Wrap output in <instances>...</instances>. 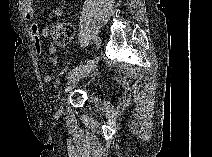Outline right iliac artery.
Listing matches in <instances>:
<instances>
[{
    "instance_id": "obj_1",
    "label": "right iliac artery",
    "mask_w": 212,
    "mask_h": 157,
    "mask_svg": "<svg viewBox=\"0 0 212 157\" xmlns=\"http://www.w3.org/2000/svg\"><path fill=\"white\" fill-rule=\"evenodd\" d=\"M92 39H93V41H94V43L96 45V48L99 49L100 44H101L100 38L99 37H96V36H93ZM92 62H93V60H88L85 65H80L79 67H76L74 70H72L71 72H69V74L70 75H74V74L78 73L79 71H81L82 69H84L85 67H87Z\"/></svg>"
}]
</instances>
